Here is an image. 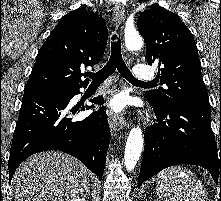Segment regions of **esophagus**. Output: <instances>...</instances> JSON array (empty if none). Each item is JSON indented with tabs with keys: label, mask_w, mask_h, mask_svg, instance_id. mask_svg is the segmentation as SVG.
<instances>
[{
	"label": "esophagus",
	"mask_w": 221,
	"mask_h": 201,
	"mask_svg": "<svg viewBox=\"0 0 221 201\" xmlns=\"http://www.w3.org/2000/svg\"><path fill=\"white\" fill-rule=\"evenodd\" d=\"M114 19L116 28H119L125 19V10L122 4L117 3L114 6ZM108 121L111 130L116 131L126 127V121L122 114H114L113 112H108Z\"/></svg>",
	"instance_id": "34e87169"
}]
</instances>
